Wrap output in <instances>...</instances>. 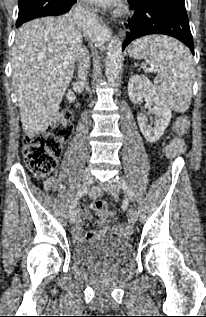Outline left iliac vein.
I'll use <instances>...</instances> for the list:
<instances>
[{
	"label": "left iliac vein",
	"instance_id": "obj_1",
	"mask_svg": "<svg viewBox=\"0 0 206 317\" xmlns=\"http://www.w3.org/2000/svg\"><path fill=\"white\" fill-rule=\"evenodd\" d=\"M103 188L106 192H108L109 194H111L113 196H117L119 193V186H118L116 180H114V179L109 180L107 183H105L103 185ZM128 216H129V219L132 223H135L137 221V219H138L137 210L133 206L129 207Z\"/></svg>",
	"mask_w": 206,
	"mask_h": 317
}]
</instances>
